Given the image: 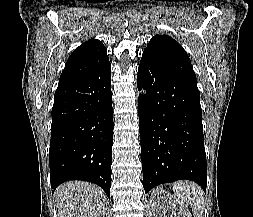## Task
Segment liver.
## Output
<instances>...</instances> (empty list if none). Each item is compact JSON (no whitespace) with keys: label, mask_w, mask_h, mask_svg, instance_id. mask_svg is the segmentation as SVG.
I'll use <instances>...</instances> for the list:
<instances>
[{"label":"liver","mask_w":253,"mask_h":217,"mask_svg":"<svg viewBox=\"0 0 253 217\" xmlns=\"http://www.w3.org/2000/svg\"><path fill=\"white\" fill-rule=\"evenodd\" d=\"M59 217H104L106 195L94 184L70 181L55 191Z\"/></svg>","instance_id":"obj_1"}]
</instances>
